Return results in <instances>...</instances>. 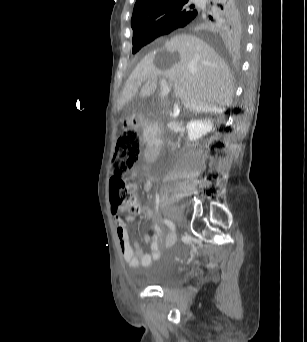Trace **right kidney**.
<instances>
[{"label": "right kidney", "mask_w": 307, "mask_h": 342, "mask_svg": "<svg viewBox=\"0 0 307 342\" xmlns=\"http://www.w3.org/2000/svg\"><path fill=\"white\" fill-rule=\"evenodd\" d=\"M186 128L190 142H194V140H198V138H202V136H206L208 132H211L214 124L211 120H191Z\"/></svg>", "instance_id": "1"}]
</instances>
